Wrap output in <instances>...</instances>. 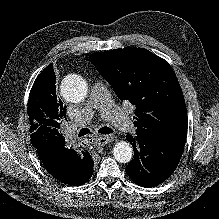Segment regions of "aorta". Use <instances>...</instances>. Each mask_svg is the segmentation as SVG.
Masks as SVG:
<instances>
[{"label": "aorta", "instance_id": "1", "mask_svg": "<svg viewBox=\"0 0 219 219\" xmlns=\"http://www.w3.org/2000/svg\"><path fill=\"white\" fill-rule=\"evenodd\" d=\"M87 83L79 76H69L62 81L61 95L71 103L83 101L87 95ZM113 155L116 161L128 163L133 158V148L126 141H119L113 147Z\"/></svg>", "mask_w": 219, "mask_h": 219}]
</instances>
